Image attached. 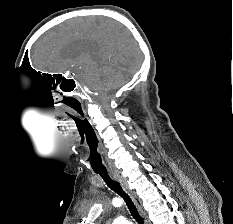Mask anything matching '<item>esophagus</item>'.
Segmentation results:
<instances>
[{"instance_id": "34e87169", "label": "esophagus", "mask_w": 233, "mask_h": 224, "mask_svg": "<svg viewBox=\"0 0 233 224\" xmlns=\"http://www.w3.org/2000/svg\"><path fill=\"white\" fill-rule=\"evenodd\" d=\"M111 177L118 181L123 188L125 189V191L128 193V195L131 197L132 201L134 202L135 206L137 207L138 211L140 212L144 224H150V221L148 219V216L146 214V212L144 211L143 207H142V203L141 201L134 195V193L130 190L126 180L124 179V177L122 176V174L120 173V171L118 170H113L110 172Z\"/></svg>"}]
</instances>
